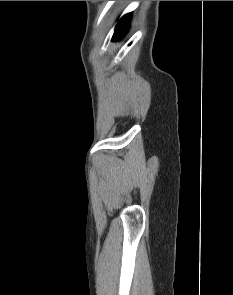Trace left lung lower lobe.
<instances>
[{
  "label": "left lung lower lobe",
  "instance_id": "left-lung-lower-lobe-1",
  "mask_svg": "<svg viewBox=\"0 0 233 295\" xmlns=\"http://www.w3.org/2000/svg\"><path fill=\"white\" fill-rule=\"evenodd\" d=\"M130 17H131V13L125 15L118 21L115 28L114 35L112 37L113 40L120 39L122 35L127 31L129 27Z\"/></svg>",
  "mask_w": 233,
  "mask_h": 295
}]
</instances>
